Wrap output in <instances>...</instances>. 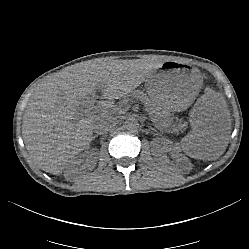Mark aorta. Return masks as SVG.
<instances>
[{"label": "aorta", "mask_w": 249, "mask_h": 249, "mask_svg": "<svg viewBox=\"0 0 249 249\" xmlns=\"http://www.w3.org/2000/svg\"><path fill=\"white\" fill-rule=\"evenodd\" d=\"M124 127L128 131H135L139 127V122L136 118L134 117H128L125 121Z\"/></svg>", "instance_id": "aorta-1"}]
</instances>
